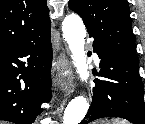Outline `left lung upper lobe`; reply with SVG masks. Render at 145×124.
Instances as JSON below:
<instances>
[{"instance_id":"1","label":"left lung upper lobe","mask_w":145,"mask_h":124,"mask_svg":"<svg viewBox=\"0 0 145 124\" xmlns=\"http://www.w3.org/2000/svg\"><path fill=\"white\" fill-rule=\"evenodd\" d=\"M102 48L138 62L127 0H69Z\"/></svg>"}]
</instances>
